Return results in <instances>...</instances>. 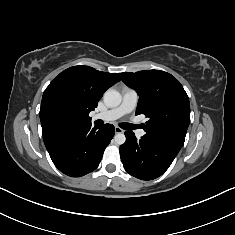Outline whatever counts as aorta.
Returning <instances> with one entry per match:
<instances>
[{
    "label": "aorta",
    "instance_id": "1",
    "mask_svg": "<svg viewBox=\"0 0 235 235\" xmlns=\"http://www.w3.org/2000/svg\"><path fill=\"white\" fill-rule=\"evenodd\" d=\"M122 101L121 94L115 89H108L104 93V103L111 108L117 107ZM114 141L118 145H122L126 141V137L123 133H118L114 136Z\"/></svg>",
    "mask_w": 235,
    "mask_h": 235
}]
</instances>
